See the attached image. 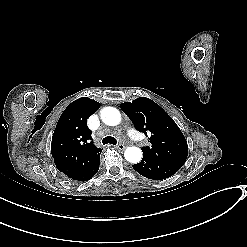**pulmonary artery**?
I'll return each instance as SVG.
<instances>
[{
    "label": "pulmonary artery",
    "instance_id": "e3ab8cb5",
    "mask_svg": "<svg viewBox=\"0 0 247 247\" xmlns=\"http://www.w3.org/2000/svg\"><path fill=\"white\" fill-rule=\"evenodd\" d=\"M134 127L128 126L127 127V132L133 133Z\"/></svg>",
    "mask_w": 247,
    "mask_h": 247
}]
</instances>
